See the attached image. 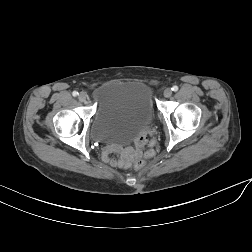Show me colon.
I'll list each match as a JSON object with an SVG mask.
<instances>
[{"mask_svg":"<svg viewBox=\"0 0 252 252\" xmlns=\"http://www.w3.org/2000/svg\"><path fill=\"white\" fill-rule=\"evenodd\" d=\"M146 156L150 157L151 154L148 153ZM145 163H146L145 158H141V157L136 158L134 161V165L137 169L144 167Z\"/></svg>","mask_w":252,"mask_h":252,"instance_id":"1","label":"colon"}]
</instances>
